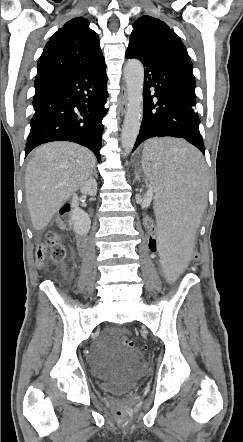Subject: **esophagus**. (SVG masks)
I'll return each instance as SVG.
<instances>
[{"instance_id":"obj_1","label":"esophagus","mask_w":243,"mask_h":442,"mask_svg":"<svg viewBox=\"0 0 243 442\" xmlns=\"http://www.w3.org/2000/svg\"><path fill=\"white\" fill-rule=\"evenodd\" d=\"M126 107H127V94H126V92L124 91V93H123V95H122L121 106H120V109H121V113H122V114L125 112Z\"/></svg>"}]
</instances>
